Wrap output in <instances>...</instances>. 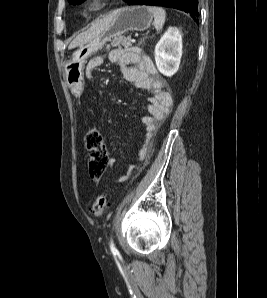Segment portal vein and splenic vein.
<instances>
[{
	"mask_svg": "<svg viewBox=\"0 0 267 298\" xmlns=\"http://www.w3.org/2000/svg\"><path fill=\"white\" fill-rule=\"evenodd\" d=\"M131 42L134 43L135 42V39H132Z\"/></svg>",
	"mask_w": 267,
	"mask_h": 298,
	"instance_id": "obj_1",
	"label": "portal vein and splenic vein"
}]
</instances>
